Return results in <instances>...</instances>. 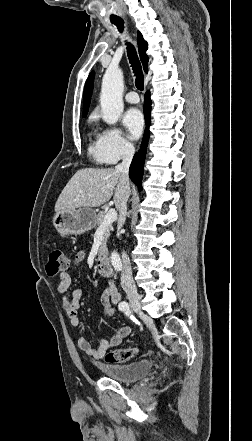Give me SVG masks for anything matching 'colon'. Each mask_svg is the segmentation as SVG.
Here are the masks:
<instances>
[{
	"label": "colon",
	"instance_id": "obj_1",
	"mask_svg": "<svg viewBox=\"0 0 252 441\" xmlns=\"http://www.w3.org/2000/svg\"><path fill=\"white\" fill-rule=\"evenodd\" d=\"M68 265V259L64 252L59 249L52 250L49 254L48 262L46 264V272L53 276L63 271ZM100 316L104 318H111L114 315V306L103 305L99 311ZM136 348L116 349L106 353L105 361L107 363H124L133 358L137 354Z\"/></svg>",
	"mask_w": 252,
	"mask_h": 441
}]
</instances>
